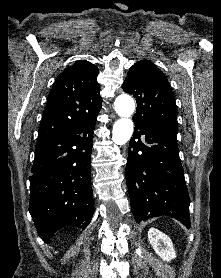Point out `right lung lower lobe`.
<instances>
[{
  "label": "right lung lower lobe",
  "instance_id": "98d812e1",
  "mask_svg": "<svg viewBox=\"0 0 221 278\" xmlns=\"http://www.w3.org/2000/svg\"><path fill=\"white\" fill-rule=\"evenodd\" d=\"M96 117L80 121L36 146L29 212L46 243L66 226L86 228L93 217L90 178Z\"/></svg>",
  "mask_w": 221,
  "mask_h": 278
}]
</instances>
